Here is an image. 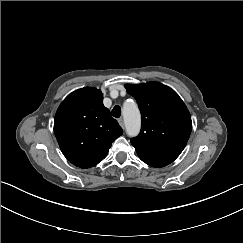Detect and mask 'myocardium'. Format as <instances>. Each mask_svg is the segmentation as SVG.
<instances>
[{
    "label": "myocardium",
    "mask_w": 243,
    "mask_h": 243,
    "mask_svg": "<svg viewBox=\"0 0 243 243\" xmlns=\"http://www.w3.org/2000/svg\"><path fill=\"white\" fill-rule=\"evenodd\" d=\"M127 104L129 105V104H130V102H128V101H127Z\"/></svg>",
    "instance_id": "obj_1"
}]
</instances>
